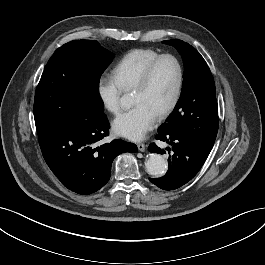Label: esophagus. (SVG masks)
Returning a JSON list of instances; mask_svg holds the SVG:
<instances>
[{
	"label": "esophagus",
	"mask_w": 265,
	"mask_h": 265,
	"mask_svg": "<svg viewBox=\"0 0 265 265\" xmlns=\"http://www.w3.org/2000/svg\"><path fill=\"white\" fill-rule=\"evenodd\" d=\"M137 148L139 151L143 152L146 149V145L144 143H138Z\"/></svg>",
	"instance_id": "34e87169"
}]
</instances>
